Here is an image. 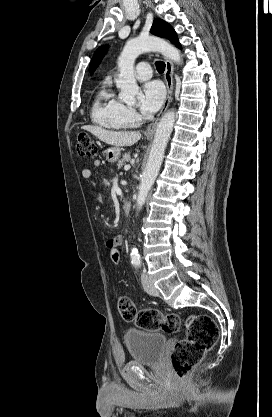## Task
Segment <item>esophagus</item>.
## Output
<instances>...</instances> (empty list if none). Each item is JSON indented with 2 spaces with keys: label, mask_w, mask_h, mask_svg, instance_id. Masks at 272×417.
Returning <instances> with one entry per match:
<instances>
[{
  "label": "esophagus",
  "mask_w": 272,
  "mask_h": 417,
  "mask_svg": "<svg viewBox=\"0 0 272 417\" xmlns=\"http://www.w3.org/2000/svg\"><path fill=\"white\" fill-rule=\"evenodd\" d=\"M173 70H174L173 63L169 59L165 58L164 78H165V83H166V87H167V96H166V99L164 101V104H163V107H162L160 113L152 121V123L148 126V128L145 132L146 136H153L154 135L155 129H156V126L158 124V121H159L160 117L167 110V108L169 107V105L172 101L173 89H174Z\"/></svg>",
  "instance_id": "esophagus-1"
}]
</instances>
